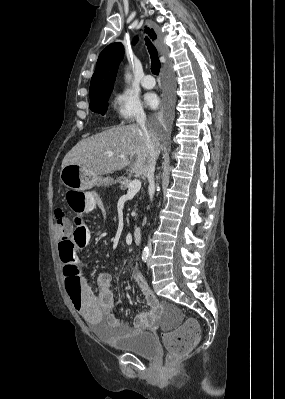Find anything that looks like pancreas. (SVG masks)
Wrapping results in <instances>:
<instances>
[{"mask_svg": "<svg viewBox=\"0 0 285 399\" xmlns=\"http://www.w3.org/2000/svg\"><path fill=\"white\" fill-rule=\"evenodd\" d=\"M118 182L120 183V188L122 190H126L129 188V184L131 183L130 177H120Z\"/></svg>", "mask_w": 285, "mask_h": 399, "instance_id": "1", "label": "pancreas"}]
</instances>
